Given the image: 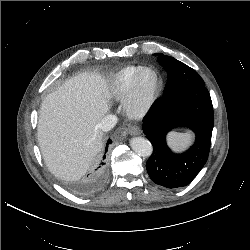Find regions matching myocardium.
Masks as SVG:
<instances>
[{"label": "myocardium", "mask_w": 250, "mask_h": 250, "mask_svg": "<svg viewBox=\"0 0 250 250\" xmlns=\"http://www.w3.org/2000/svg\"><path fill=\"white\" fill-rule=\"evenodd\" d=\"M147 72L153 73L155 77V84L149 95L141 100L139 96V86L144 74ZM161 89L162 81L159 73L151 67L143 68L136 76L124 96L123 107L126 115L132 119H141L146 116L158 100L161 93Z\"/></svg>", "instance_id": "1"}]
</instances>
